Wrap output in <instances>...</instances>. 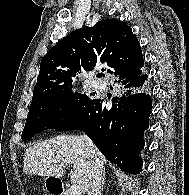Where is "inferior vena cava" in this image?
<instances>
[{"label": "inferior vena cava", "instance_id": "602c4592", "mask_svg": "<svg viewBox=\"0 0 189 195\" xmlns=\"http://www.w3.org/2000/svg\"><path fill=\"white\" fill-rule=\"evenodd\" d=\"M85 139L91 148L92 154L91 170L87 190L88 195H101L102 166L99 160L94 157L95 155L94 144L87 136H85Z\"/></svg>", "mask_w": 189, "mask_h": 195}]
</instances>
